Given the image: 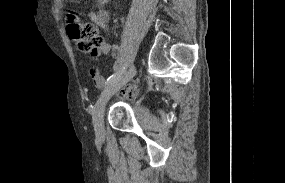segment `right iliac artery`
I'll list each match as a JSON object with an SVG mask.
<instances>
[{
	"instance_id": "1",
	"label": "right iliac artery",
	"mask_w": 285,
	"mask_h": 183,
	"mask_svg": "<svg viewBox=\"0 0 285 183\" xmlns=\"http://www.w3.org/2000/svg\"><path fill=\"white\" fill-rule=\"evenodd\" d=\"M126 67H127V64H126L123 68L119 69L116 73H114L113 75H111V76L107 79L106 84L108 85V84L114 82L116 79H118V78L123 74V72H124V70H125Z\"/></svg>"
}]
</instances>
